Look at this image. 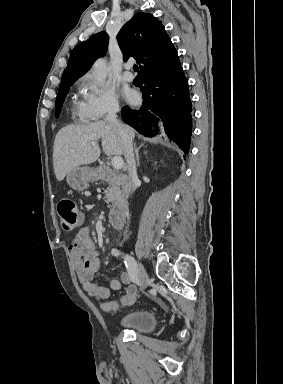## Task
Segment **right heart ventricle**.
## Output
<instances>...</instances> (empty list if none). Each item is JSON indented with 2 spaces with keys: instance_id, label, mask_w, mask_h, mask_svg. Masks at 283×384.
I'll use <instances>...</instances> for the list:
<instances>
[{
  "instance_id": "e07e8e85",
  "label": "right heart ventricle",
  "mask_w": 283,
  "mask_h": 384,
  "mask_svg": "<svg viewBox=\"0 0 283 384\" xmlns=\"http://www.w3.org/2000/svg\"><path fill=\"white\" fill-rule=\"evenodd\" d=\"M71 112L74 116H79L81 114V102L77 101L76 97H73L70 102Z\"/></svg>"
}]
</instances>
